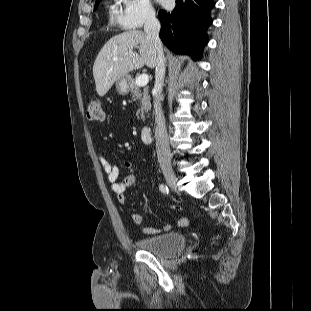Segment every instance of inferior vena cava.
I'll return each instance as SVG.
<instances>
[{"label":"inferior vena cava","mask_w":311,"mask_h":311,"mask_svg":"<svg viewBox=\"0 0 311 311\" xmlns=\"http://www.w3.org/2000/svg\"><path fill=\"white\" fill-rule=\"evenodd\" d=\"M160 22L155 16L154 12L147 15L144 32L146 36L152 41L156 51V69H155V96H154V110H155V123H156V151L157 158L160 166L171 165V152L168 144V135L165 125V118L162 112L161 101L163 99L162 86L165 77V57L163 52L162 42L159 38Z\"/></svg>","instance_id":"obj_1"}]
</instances>
